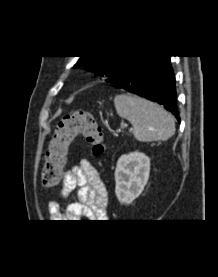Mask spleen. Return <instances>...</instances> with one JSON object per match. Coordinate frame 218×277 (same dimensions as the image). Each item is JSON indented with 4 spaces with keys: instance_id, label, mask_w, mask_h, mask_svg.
Returning <instances> with one entry per match:
<instances>
[{
    "instance_id": "spleen-1",
    "label": "spleen",
    "mask_w": 218,
    "mask_h": 277,
    "mask_svg": "<svg viewBox=\"0 0 218 277\" xmlns=\"http://www.w3.org/2000/svg\"><path fill=\"white\" fill-rule=\"evenodd\" d=\"M117 114L133 126L134 137L141 142L167 140L175 133L173 117L162 107L135 95H116Z\"/></svg>"
}]
</instances>
